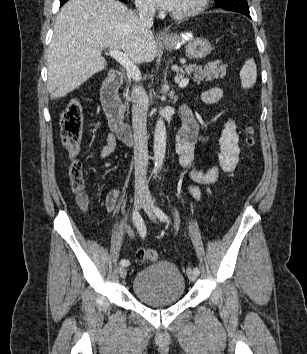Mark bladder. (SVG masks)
<instances>
[{"label":"bladder","mask_w":307,"mask_h":354,"mask_svg":"<svg viewBox=\"0 0 307 354\" xmlns=\"http://www.w3.org/2000/svg\"><path fill=\"white\" fill-rule=\"evenodd\" d=\"M185 278L172 262L157 261L139 270L132 284L134 295L143 303L168 306L177 303L185 293Z\"/></svg>","instance_id":"31cf9c89"}]
</instances>
